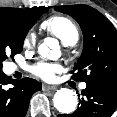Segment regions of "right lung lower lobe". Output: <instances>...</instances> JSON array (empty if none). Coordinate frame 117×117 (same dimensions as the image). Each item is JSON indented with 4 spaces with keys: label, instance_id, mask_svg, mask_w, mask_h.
<instances>
[{
    "label": "right lung lower lobe",
    "instance_id": "1",
    "mask_svg": "<svg viewBox=\"0 0 117 117\" xmlns=\"http://www.w3.org/2000/svg\"><path fill=\"white\" fill-rule=\"evenodd\" d=\"M41 88L40 83L34 79L12 80L1 71L0 117H25L31 96Z\"/></svg>",
    "mask_w": 117,
    "mask_h": 117
}]
</instances>
